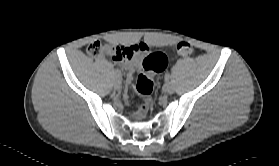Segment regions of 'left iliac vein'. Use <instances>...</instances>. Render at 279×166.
I'll list each match as a JSON object with an SVG mask.
<instances>
[{
    "label": "left iliac vein",
    "instance_id": "4c4485c4",
    "mask_svg": "<svg viewBox=\"0 0 279 166\" xmlns=\"http://www.w3.org/2000/svg\"><path fill=\"white\" fill-rule=\"evenodd\" d=\"M163 91L167 94H172L174 93V86L170 82H167L163 87Z\"/></svg>",
    "mask_w": 279,
    "mask_h": 166
}]
</instances>
